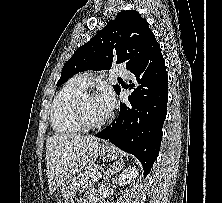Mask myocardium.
<instances>
[{
    "label": "myocardium",
    "mask_w": 222,
    "mask_h": 203,
    "mask_svg": "<svg viewBox=\"0 0 222 203\" xmlns=\"http://www.w3.org/2000/svg\"><path fill=\"white\" fill-rule=\"evenodd\" d=\"M94 96H96V94L91 93V92H84L83 94L79 96V98L77 99L75 103V107H74L75 117H76L77 122L83 129L92 130V129L100 128L104 124H106L107 121L112 116V114L109 113L105 118H103L102 120L98 122H90L87 119L84 112V103L88 97H94Z\"/></svg>",
    "instance_id": "myocardium-1"
}]
</instances>
